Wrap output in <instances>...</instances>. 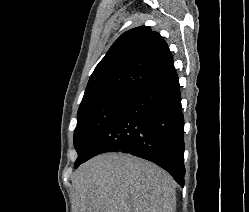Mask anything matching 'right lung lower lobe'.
<instances>
[{
  "label": "right lung lower lobe",
  "mask_w": 249,
  "mask_h": 212,
  "mask_svg": "<svg viewBox=\"0 0 249 212\" xmlns=\"http://www.w3.org/2000/svg\"><path fill=\"white\" fill-rule=\"evenodd\" d=\"M184 118L178 75L141 92L103 131L85 161L105 152L144 158L184 186Z\"/></svg>",
  "instance_id": "right-lung-lower-lobe-1"
}]
</instances>
